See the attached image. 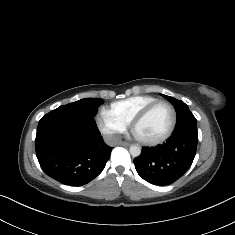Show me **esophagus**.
<instances>
[{
	"instance_id": "obj_1",
	"label": "esophagus",
	"mask_w": 235,
	"mask_h": 235,
	"mask_svg": "<svg viewBox=\"0 0 235 235\" xmlns=\"http://www.w3.org/2000/svg\"><path fill=\"white\" fill-rule=\"evenodd\" d=\"M129 145H130L129 142H126V141L120 142V146H129Z\"/></svg>"
}]
</instances>
